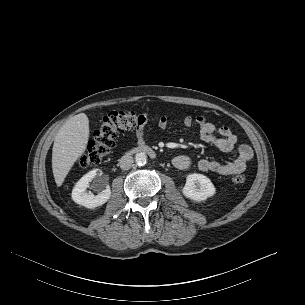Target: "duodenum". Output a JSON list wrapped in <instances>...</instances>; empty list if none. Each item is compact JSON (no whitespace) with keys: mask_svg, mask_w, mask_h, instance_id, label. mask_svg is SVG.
Instances as JSON below:
<instances>
[{"mask_svg":"<svg viewBox=\"0 0 305 305\" xmlns=\"http://www.w3.org/2000/svg\"><path fill=\"white\" fill-rule=\"evenodd\" d=\"M131 153H139V152H144L150 156H155V151L147 146V145H139V146H135V147H132L130 150H129Z\"/></svg>","mask_w":305,"mask_h":305,"instance_id":"duodenum-1","label":"duodenum"}]
</instances>
